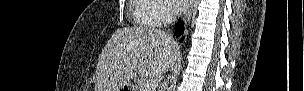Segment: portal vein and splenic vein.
Wrapping results in <instances>:
<instances>
[{
	"label": "portal vein and splenic vein",
	"instance_id": "portal-vein-and-splenic-vein-1",
	"mask_svg": "<svg viewBox=\"0 0 304 91\" xmlns=\"http://www.w3.org/2000/svg\"><path fill=\"white\" fill-rule=\"evenodd\" d=\"M157 84H158L157 79H149L145 82V88L148 90H152V89L156 88Z\"/></svg>",
	"mask_w": 304,
	"mask_h": 91
}]
</instances>
